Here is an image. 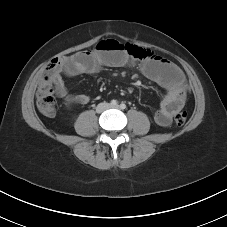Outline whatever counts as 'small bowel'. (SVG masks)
Here are the masks:
<instances>
[{"label": "small bowel", "mask_w": 227, "mask_h": 227, "mask_svg": "<svg viewBox=\"0 0 227 227\" xmlns=\"http://www.w3.org/2000/svg\"><path fill=\"white\" fill-rule=\"evenodd\" d=\"M135 60L124 44L114 39L103 40L94 49L61 58L60 64L50 73L49 80L59 97L70 102L87 104L90 96L70 94L64 84L63 75L73 77L96 74L105 66L122 67L133 64ZM140 68L145 77L166 91L159 109L154 114V120L157 125L167 127L174 114L183 108L186 101L184 75L175 64L154 54L144 59Z\"/></svg>", "instance_id": "c3829d8e"}]
</instances>
